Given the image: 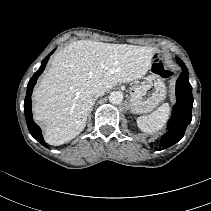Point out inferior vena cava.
Returning <instances> with one entry per match:
<instances>
[{
	"label": "inferior vena cava",
	"instance_id": "602c4592",
	"mask_svg": "<svg viewBox=\"0 0 211 211\" xmlns=\"http://www.w3.org/2000/svg\"><path fill=\"white\" fill-rule=\"evenodd\" d=\"M104 93H105V91L103 89L97 88V89L94 90L93 95H94L95 98H98V97L103 96Z\"/></svg>",
	"mask_w": 211,
	"mask_h": 211
}]
</instances>
